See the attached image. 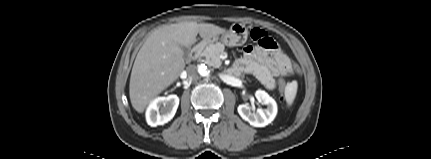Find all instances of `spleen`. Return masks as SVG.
Masks as SVG:
<instances>
[{"instance_id":"obj_1","label":"spleen","mask_w":431,"mask_h":159,"mask_svg":"<svg viewBox=\"0 0 431 159\" xmlns=\"http://www.w3.org/2000/svg\"><path fill=\"white\" fill-rule=\"evenodd\" d=\"M296 93H297V82L293 81L290 84H288L285 91V99L288 106H291L293 104Z\"/></svg>"}]
</instances>
